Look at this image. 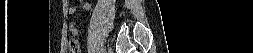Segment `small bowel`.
Here are the masks:
<instances>
[{"label":"small bowel","mask_w":253,"mask_h":53,"mask_svg":"<svg viewBox=\"0 0 253 53\" xmlns=\"http://www.w3.org/2000/svg\"><path fill=\"white\" fill-rule=\"evenodd\" d=\"M86 8H88V6H86ZM70 13L73 14L74 9H70ZM68 29L72 36H77L79 33V29L72 23L69 24Z\"/></svg>","instance_id":"obj_1"}]
</instances>
